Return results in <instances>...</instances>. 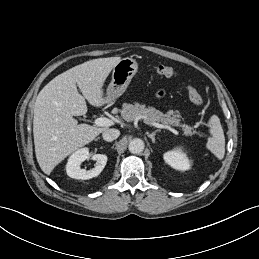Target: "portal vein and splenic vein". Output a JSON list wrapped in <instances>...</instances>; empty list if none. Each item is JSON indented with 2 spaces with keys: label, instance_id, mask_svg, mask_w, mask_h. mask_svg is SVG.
<instances>
[{
  "label": "portal vein and splenic vein",
  "instance_id": "obj_1",
  "mask_svg": "<svg viewBox=\"0 0 259 259\" xmlns=\"http://www.w3.org/2000/svg\"><path fill=\"white\" fill-rule=\"evenodd\" d=\"M145 122L151 126H154L157 128H162V129H168L171 132H173L174 134H178V132L175 129H173L172 127H170L168 125L159 124V123L152 122L149 120H146ZM94 123H95V125L101 126V127H107V126H111L113 124V122L110 119L105 118V117H100V118L95 119Z\"/></svg>",
  "mask_w": 259,
  "mask_h": 259
}]
</instances>
